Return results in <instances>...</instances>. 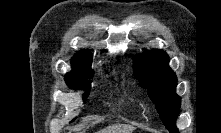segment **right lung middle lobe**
Returning <instances> with one entry per match:
<instances>
[{"mask_svg": "<svg viewBox=\"0 0 221 133\" xmlns=\"http://www.w3.org/2000/svg\"><path fill=\"white\" fill-rule=\"evenodd\" d=\"M92 75H93V71L89 70L84 73L66 76L65 81H66L67 85L73 89L86 87V93L84 94V98H86L87 94L90 90L89 86L91 83V81L88 79L92 78Z\"/></svg>", "mask_w": 221, "mask_h": 133, "instance_id": "obj_1", "label": "right lung middle lobe"}]
</instances>
